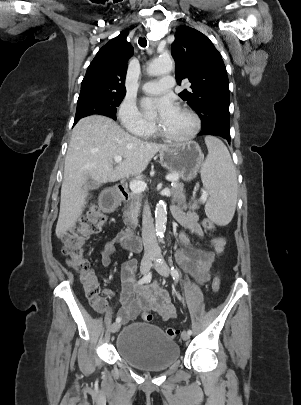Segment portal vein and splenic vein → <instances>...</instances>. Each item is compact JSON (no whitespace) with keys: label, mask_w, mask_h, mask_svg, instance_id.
<instances>
[{"label":"portal vein and splenic vein","mask_w":301,"mask_h":405,"mask_svg":"<svg viewBox=\"0 0 301 405\" xmlns=\"http://www.w3.org/2000/svg\"><path fill=\"white\" fill-rule=\"evenodd\" d=\"M114 161L116 163H120L122 161V157L115 156ZM178 178H179V176L177 174H172V175L166 176V179L171 182L178 180ZM129 187H130L131 191L134 193H142L147 188V184L144 181L132 180L129 184ZM207 196H208V193L206 191H203L202 196L200 197V201L205 202L207 199Z\"/></svg>","instance_id":"obj_1"}]
</instances>
